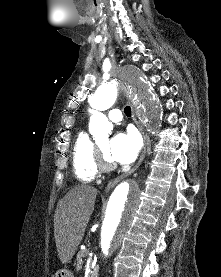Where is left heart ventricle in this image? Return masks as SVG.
Returning a JSON list of instances; mask_svg holds the SVG:
<instances>
[{
    "mask_svg": "<svg viewBox=\"0 0 221 277\" xmlns=\"http://www.w3.org/2000/svg\"><path fill=\"white\" fill-rule=\"evenodd\" d=\"M99 147L103 150V152L105 153L106 157H107L109 160H111V159L109 158L108 152H107V150H108V142H107V141H104V142L99 143Z\"/></svg>",
    "mask_w": 221,
    "mask_h": 277,
    "instance_id": "left-heart-ventricle-1",
    "label": "left heart ventricle"
}]
</instances>
